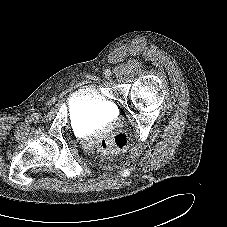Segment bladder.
<instances>
[{"label":"bladder","instance_id":"31cf9c89","mask_svg":"<svg viewBox=\"0 0 227 227\" xmlns=\"http://www.w3.org/2000/svg\"><path fill=\"white\" fill-rule=\"evenodd\" d=\"M69 110L79 130H84L91 123L108 124L118 115L114 101L93 85L84 86L72 96Z\"/></svg>","mask_w":227,"mask_h":227}]
</instances>
